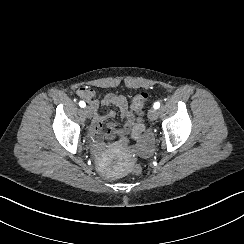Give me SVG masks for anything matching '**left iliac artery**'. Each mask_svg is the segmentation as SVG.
<instances>
[{"label": "left iliac artery", "mask_w": 244, "mask_h": 244, "mask_svg": "<svg viewBox=\"0 0 244 244\" xmlns=\"http://www.w3.org/2000/svg\"><path fill=\"white\" fill-rule=\"evenodd\" d=\"M153 107H154V109H158L160 107V103L159 102H155Z\"/></svg>", "instance_id": "obj_1"}]
</instances>
